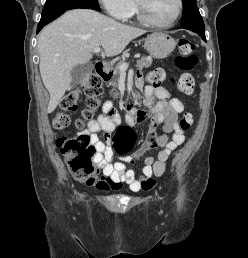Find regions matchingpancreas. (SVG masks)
<instances>
[{"instance_id":"obj_1","label":"pancreas","mask_w":248,"mask_h":258,"mask_svg":"<svg viewBox=\"0 0 248 258\" xmlns=\"http://www.w3.org/2000/svg\"><path fill=\"white\" fill-rule=\"evenodd\" d=\"M125 63V58H122L120 60V62L114 67L113 69V77L112 80L110 82V84L115 88L117 86V82L120 76V65ZM152 64V58L151 57H143L140 60L137 61V67L142 69L144 67H150V65ZM119 96V93L116 91L113 94V98H117Z\"/></svg>"}]
</instances>
